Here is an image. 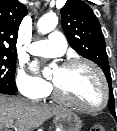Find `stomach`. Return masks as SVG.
Returning <instances> with one entry per match:
<instances>
[{
  "label": "stomach",
  "instance_id": "obj_1",
  "mask_svg": "<svg viewBox=\"0 0 117 131\" xmlns=\"http://www.w3.org/2000/svg\"><path fill=\"white\" fill-rule=\"evenodd\" d=\"M54 124L58 131H80L82 127L81 119L71 111L57 114Z\"/></svg>",
  "mask_w": 117,
  "mask_h": 131
}]
</instances>
